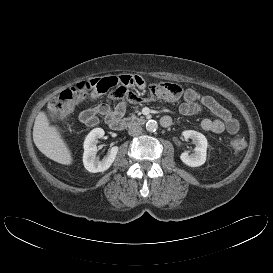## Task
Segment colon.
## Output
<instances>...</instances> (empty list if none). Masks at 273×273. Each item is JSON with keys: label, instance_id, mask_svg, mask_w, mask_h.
<instances>
[{"label": "colon", "instance_id": "obj_1", "mask_svg": "<svg viewBox=\"0 0 273 273\" xmlns=\"http://www.w3.org/2000/svg\"><path fill=\"white\" fill-rule=\"evenodd\" d=\"M137 81V76L119 75L80 82L54 97L49 104L48 114L53 121L63 122L75 106L88 101L94 95L109 91L114 99L126 97L130 101H136L135 93L129 91V88L135 86ZM149 93L153 99L175 100L182 95L183 88L174 82H160L151 84ZM230 145L235 152H240L245 149L247 142L243 135H237Z\"/></svg>", "mask_w": 273, "mask_h": 273}]
</instances>
